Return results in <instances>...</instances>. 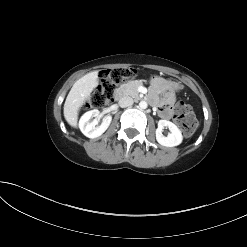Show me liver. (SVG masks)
Wrapping results in <instances>:
<instances>
[{
	"mask_svg": "<svg viewBox=\"0 0 247 247\" xmlns=\"http://www.w3.org/2000/svg\"><path fill=\"white\" fill-rule=\"evenodd\" d=\"M98 83V71H93L81 77L72 86L64 104V117L70 126L77 127L79 110Z\"/></svg>",
	"mask_w": 247,
	"mask_h": 247,
	"instance_id": "obj_1",
	"label": "liver"
}]
</instances>
